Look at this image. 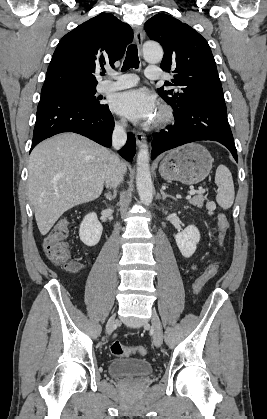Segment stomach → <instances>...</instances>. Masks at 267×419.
<instances>
[{
  "instance_id": "stomach-1",
  "label": "stomach",
  "mask_w": 267,
  "mask_h": 419,
  "mask_svg": "<svg viewBox=\"0 0 267 419\" xmlns=\"http://www.w3.org/2000/svg\"><path fill=\"white\" fill-rule=\"evenodd\" d=\"M212 163L213 158L204 146L190 143L169 152L161 161L159 172L166 181L193 185L208 176Z\"/></svg>"
}]
</instances>
